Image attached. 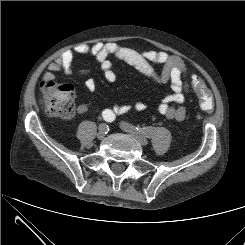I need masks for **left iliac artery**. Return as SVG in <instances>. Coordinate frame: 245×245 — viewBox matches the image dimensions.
<instances>
[{"label": "left iliac artery", "instance_id": "obj_1", "mask_svg": "<svg viewBox=\"0 0 245 245\" xmlns=\"http://www.w3.org/2000/svg\"><path fill=\"white\" fill-rule=\"evenodd\" d=\"M139 132L143 133L147 137H151L155 133V129L153 127H144V128H136Z\"/></svg>", "mask_w": 245, "mask_h": 245}]
</instances>
